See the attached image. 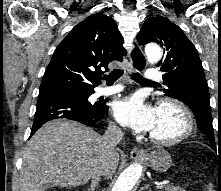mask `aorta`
<instances>
[{
    "mask_svg": "<svg viewBox=\"0 0 221 191\" xmlns=\"http://www.w3.org/2000/svg\"><path fill=\"white\" fill-rule=\"evenodd\" d=\"M145 53L150 64L159 62L162 57V50L155 43L146 45ZM141 174L142 166L138 163L131 164L120 174L112 188V191H131L139 180Z\"/></svg>",
    "mask_w": 221,
    "mask_h": 191,
    "instance_id": "aorta-1",
    "label": "aorta"
}]
</instances>
